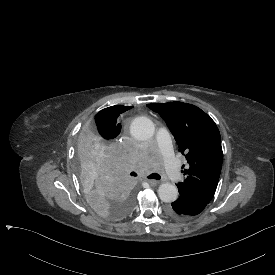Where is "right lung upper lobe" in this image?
I'll list each match as a JSON object with an SVG mask.
<instances>
[{
	"mask_svg": "<svg viewBox=\"0 0 275 275\" xmlns=\"http://www.w3.org/2000/svg\"><path fill=\"white\" fill-rule=\"evenodd\" d=\"M133 106L115 105L101 110L95 118L96 125L101 130V136L106 139H114L121 131V124L117 122L118 116L131 109Z\"/></svg>",
	"mask_w": 275,
	"mask_h": 275,
	"instance_id": "cb5924a9",
	"label": "right lung upper lobe"
}]
</instances>
